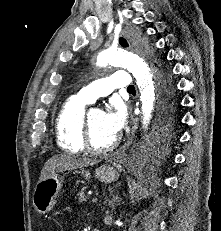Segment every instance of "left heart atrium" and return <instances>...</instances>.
Returning a JSON list of instances; mask_svg holds the SVG:
<instances>
[{"label": "left heart atrium", "mask_w": 221, "mask_h": 231, "mask_svg": "<svg viewBox=\"0 0 221 231\" xmlns=\"http://www.w3.org/2000/svg\"><path fill=\"white\" fill-rule=\"evenodd\" d=\"M104 120L107 129L113 134H119L124 128L126 114L124 110L116 106L113 110L104 113Z\"/></svg>", "instance_id": "1"}]
</instances>
